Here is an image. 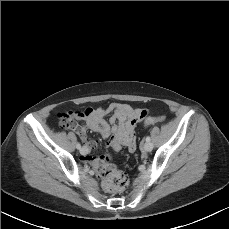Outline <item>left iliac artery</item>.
Listing matches in <instances>:
<instances>
[{"mask_svg":"<svg viewBox=\"0 0 229 229\" xmlns=\"http://www.w3.org/2000/svg\"><path fill=\"white\" fill-rule=\"evenodd\" d=\"M147 142H149L151 140V138L149 136L146 137L145 139Z\"/></svg>","mask_w":229,"mask_h":229,"instance_id":"1","label":"left iliac artery"}]
</instances>
